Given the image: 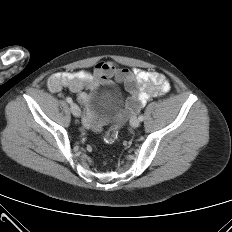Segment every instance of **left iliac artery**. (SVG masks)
Instances as JSON below:
<instances>
[{
    "mask_svg": "<svg viewBox=\"0 0 232 232\" xmlns=\"http://www.w3.org/2000/svg\"><path fill=\"white\" fill-rule=\"evenodd\" d=\"M138 119H139V121H143V120H144V116H143V115H140V116L138 117Z\"/></svg>",
    "mask_w": 232,
    "mask_h": 232,
    "instance_id": "obj_1",
    "label": "left iliac artery"
}]
</instances>
